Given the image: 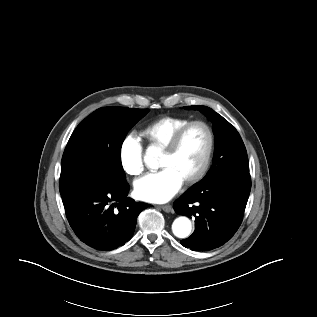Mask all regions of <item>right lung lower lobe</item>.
Returning a JSON list of instances; mask_svg holds the SVG:
<instances>
[{"instance_id": "right-lung-lower-lobe-1", "label": "right lung lower lobe", "mask_w": 317, "mask_h": 317, "mask_svg": "<svg viewBox=\"0 0 317 317\" xmlns=\"http://www.w3.org/2000/svg\"><path fill=\"white\" fill-rule=\"evenodd\" d=\"M126 179L99 175L63 196L69 224L78 238L97 250H113L131 239L139 213L149 204L127 197Z\"/></svg>"}]
</instances>
